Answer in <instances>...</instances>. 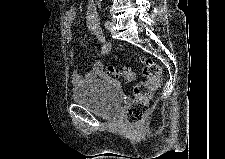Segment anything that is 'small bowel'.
Returning <instances> with one entry per match:
<instances>
[{"mask_svg":"<svg viewBox=\"0 0 225 159\" xmlns=\"http://www.w3.org/2000/svg\"><path fill=\"white\" fill-rule=\"evenodd\" d=\"M77 16V9L72 6L68 9L65 15V38L68 42L73 39V25ZM85 24L88 31L95 38L97 44L99 45V55H107L111 51V44L106 40L101 26L98 20L97 8L93 1H90L86 5V15ZM70 62L73 64L75 62L74 52L71 50L69 53ZM72 82L75 85H81L86 81L95 80L98 78L109 79V76L105 72L104 65L101 60H94L91 64L90 69L84 74L79 71L72 72Z\"/></svg>","mask_w":225,"mask_h":159,"instance_id":"1","label":"small bowel"}]
</instances>
